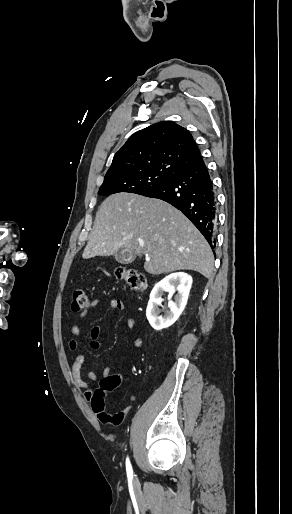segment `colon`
<instances>
[{"mask_svg": "<svg viewBox=\"0 0 292 514\" xmlns=\"http://www.w3.org/2000/svg\"><path fill=\"white\" fill-rule=\"evenodd\" d=\"M116 276L123 283L127 284L130 289L135 293H142L147 287V278L143 272L139 271L137 266L133 268H126L123 266L116 268ZM89 300L86 292L83 289H77L74 293L72 302V310L75 313L85 312L88 309ZM118 384V377L115 375H109L102 378L100 386L92 395V401L96 404L94 406V412L98 419L109 420L110 412L105 410L106 402L109 399V393L115 391ZM128 409L117 412L111 416L112 421L117 424L122 422L125 415L128 413Z\"/></svg>", "mask_w": 292, "mask_h": 514, "instance_id": "obj_1", "label": "colon"}]
</instances>
